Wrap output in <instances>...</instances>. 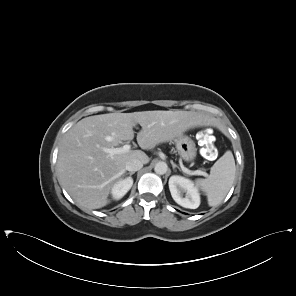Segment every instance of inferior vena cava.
<instances>
[{
  "instance_id": "1",
  "label": "inferior vena cava",
  "mask_w": 296,
  "mask_h": 296,
  "mask_svg": "<svg viewBox=\"0 0 296 296\" xmlns=\"http://www.w3.org/2000/svg\"><path fill=\"white\" fill-rule=\"evenodd\" d=\"M143 167V163L139 159H130L126 163L125 169L130 172H135Z\"/></svg>"
}]
</instances>
